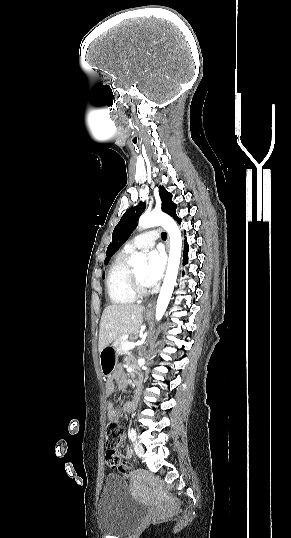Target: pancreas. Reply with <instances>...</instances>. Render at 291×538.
<instances>
[{"instance_id": "obj_1", "label": "pancreas", "mask_w": 291, "mask_h": 538, "mask_svg": "<svg viewBox=\"0 0 291 538\" xmlns=\"http://www.w3.org/2000/svg\"><path fill=\"white\" fill-rule=\"evenodd\" d=\"M124 342H127V339L120 337L113 343V347L115 348L117 354L124 355L127 354L128 351L122 348V345Z\"/></svg>"}]
</instances>
